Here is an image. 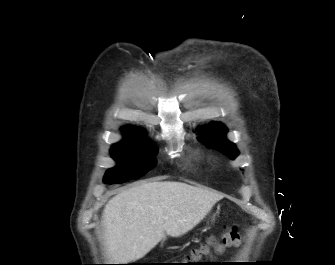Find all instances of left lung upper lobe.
Wrapping results in <instances>:
<instances>
[{"label":"left lung upper lobe","instance_id":"1","mask_svg":"<svg viewBox=\"0 0 335 265\" xmlns=\"http://www.w3.org/2000/svg\"><path fill=\"white\" fill-rule=\"evenodd\" d=\"M226 132L227 128L223 124L213 123L204 128L203 136L199 141L209 148L222 151L230 159H234L239 154V151L233 143L225 139L224 135Z\"/></svg>","mask_w":335,"mask_h":265}]
</instances>
